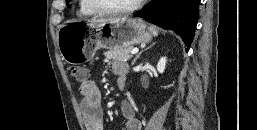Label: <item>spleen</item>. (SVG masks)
<instances>
[{
    "label": "spleen",
    "instance_id": "3e777b00",
    "mask_svg": "<svg viewBox=\"0 0 257 130\" xmlns=\"http://www.w3.org/2000/svg\"><path fill=\"white\" fill-rule=\"evenodd\" d=\"M149 30L154 36L158 35V30L154 26H150Z\"/></svg>",
    "mask_w": 257,
    "mask_h": 130
}]
</instances>
